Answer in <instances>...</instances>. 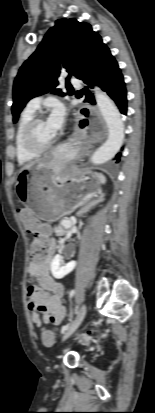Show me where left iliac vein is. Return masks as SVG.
<instances>
[{"mask_svg":"<svg viewBox=\"0 0 155 413\" xmlns=\"http://www.w3.org/2000/svg\"><path fill=\"white\" fill-rule=\"evenodd\" d=\"M86 312H87L86 304H83L81 308L79 309L75 319L72 321V323L69 325L68 329L64 333L63 338H62L63 341L69 338L77 330V328L82 323L86 315Z\"/></svg>","mask_w":155,"mask_h":413,"instance_id":"4c4485c4","label":"left iliac vein"}]
</instances>
